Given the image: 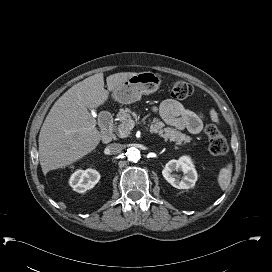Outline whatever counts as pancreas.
Returning <instances> with one entry per match:
<instances>
[{
  "label": "pancreas",
  "instance_id": "obj_1",
  "mask_svg": "<svg viewBox=\"0 0 272 272\" xmlns=\"http://www.w3.org/2000/svg\"><path fill=\"white\" fill-rule=\"evenodd\" d=\"M132 118L137 119L139 117L130 108L125 107L119 110L117 119L120 121V124L116 126L114 130L120 137L124 138L130 134L128 122L132 120ZM142 121L145 123V118H143ZM148 127L152 134H157L166 141L169 140L170 142H175L176 145H183L192 141L190 136L176 130L175 128H165V124L158 118H154L152 121L150 120Z\"/></svg>",
  "mask_w": 272,
  "mask_h": 272
}]
</instances>
